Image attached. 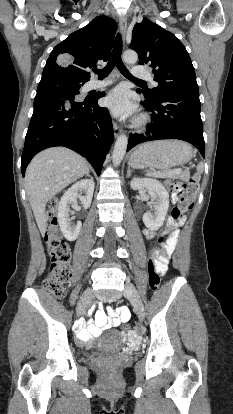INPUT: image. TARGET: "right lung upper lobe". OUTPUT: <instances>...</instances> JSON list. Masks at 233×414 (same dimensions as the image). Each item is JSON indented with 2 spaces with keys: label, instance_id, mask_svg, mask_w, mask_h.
Masks as SVG:
<instances>
[{
  "label": "right lung upper lobe",
  "instance_id": "right-lung-upper-lobe-1",
  "mask_svg": "<svg viewBox=\"0 0 233 414\" xmlns=\"http://www.w3.org/2000/svg\"><path fill=\"white\" fill-rule=\"evenodd\" d=\"M117 24L99 16L87 26L70 34L55 46L43 70L42 78H66L80 82L90 80L88 69L107 61ZM41 78V79H42Z\"/></svg>",
  "mask_w": 233,
  "mask_h": 414
}]
</instances>
